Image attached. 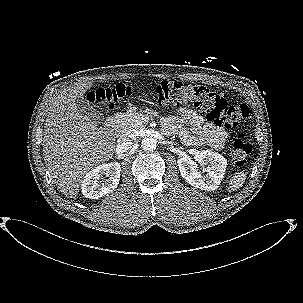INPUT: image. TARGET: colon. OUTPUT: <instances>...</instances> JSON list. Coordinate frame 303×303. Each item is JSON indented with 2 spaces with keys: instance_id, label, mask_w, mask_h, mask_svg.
<instances>
[{
  "instance_id": "5ec220e1",
  "label": "colon",
  "mask_w": 303,
  "mask_h": 303,
  "mask_svg": "<svg viewBox=\"0 0 303 303\" xmlns=\"http://www.w3.org/2000/svg\"><path fill=\"white\" fill-rule=\"evenodd\" d=\"M135 92L122 84L100 87L88 93L89 99L106 109L119 108ZM161 106L191 104L206 118L227 128L238 127L249 115L246 105L230 103L211 89L199 83H184L179 80H163L151 92ZM252 151V145L243 133L238 134L231 148V157L238 166L245 164Z\"/></svg>"
}]
</instances>
